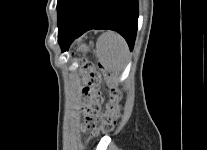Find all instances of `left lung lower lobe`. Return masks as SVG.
Segmentation results:
<instances>
[{
	"mask_svg": "<svg viewBox=\"0 0 207 150\" xmlns=\"http://www.w3.org/2000/svg\"><path fill=\"white\" fill-rule=\"evenodd\" d=\"M138 23L137 0H66L58 14L62 51L90 29L117 31L133 49Z\"/></svg>",
	"mask_w": 207,
	"mask_h": 150,
	"instance_id": "left-lung-lower-lobe-1",
	"label": "left lung lower lobe"
}]
</instances>
